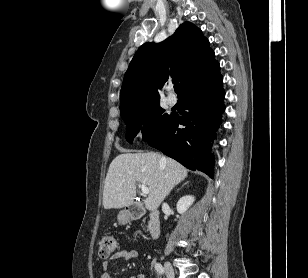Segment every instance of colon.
<instances>
[{
	"mask_svg": "<svg viewBox=\"0 0 308 278\" xmlns=\"http://www.w3.org/2000/svg\"><path fill=\"white\" fill-rule=\"evenodd\" d=\"M117 248V241L113 236H105L98 243L99 255L102 258L109 257Z\"/></svg>",
	"mask_w": 308,
	"mask_h": 278,
	"instance_id": "5ec220e1",
	"label": "colon"
}]
</instances>
